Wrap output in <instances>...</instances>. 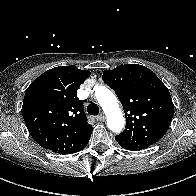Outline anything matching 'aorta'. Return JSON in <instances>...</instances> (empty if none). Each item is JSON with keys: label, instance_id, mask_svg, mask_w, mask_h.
Instances as JSON below:
<instances>
[{"label": "aorta", "instance_id": "aorta-1", "mask_svg": "<svg viewBox=\"0 0 196 196\" xmlns=\"http://www.w3.org/2000/svg\"><path fill=\"white\" fill-rule=\"evenodd\" d=\"M95 97L107 116L108 128L119 133L125 125V119L116 96L107 87L96 86Z\"/></svg>", "mask_w": 196, "mask_h": 196}]
</instances>
